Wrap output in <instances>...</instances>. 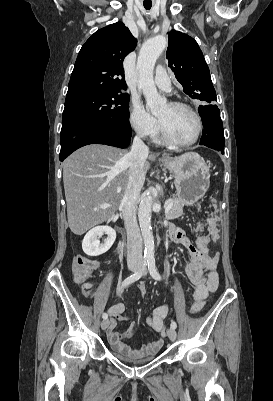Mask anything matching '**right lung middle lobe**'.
Listing matches in <instances>:
<instances>
[{
  "label": "right lung middle lobe",
  "mask_w": 273,
  "mask_h": 401,
  "mask_svg": "<svg viewBox=\"0 0 273 401\" xmlns=\"http://www.w3.org/2000/svg\"><path fill=\"white\" fill-rule=\"evenodd\" d=\"M129 95L118 91H88L67 95L62 125L87 120L130 128Z\"/></svg>",
  "instance_id": "right-lung-middle-lobe-1"
}]
</instances>
